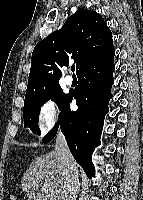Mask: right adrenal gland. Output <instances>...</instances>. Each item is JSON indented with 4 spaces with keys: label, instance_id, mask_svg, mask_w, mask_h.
Segmentation results:
<instances>
[{
    "label": "right adrenal gland",
    "instance_id": "1",
    "mask_svg": "<svg viewBox=\"0 0 143 200\" xmlns=\"http://www.w3.org/2000/svg\"><path fill=\"white\" fill-rule=\"evenodd\" d=\"M78 191H80V184H79V188H78Z\"/></svg>",
    "mask_w": 143,
    "mask_h": 200
}]
</instances>
